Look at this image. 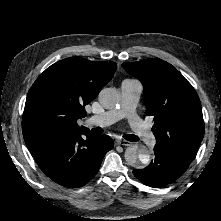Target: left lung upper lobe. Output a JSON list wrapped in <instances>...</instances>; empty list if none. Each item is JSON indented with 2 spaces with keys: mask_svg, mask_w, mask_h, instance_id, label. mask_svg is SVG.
Listing matches in <instances>:
<instances>
[{
  "mask_svg": "<svg viewBox=\"0 0 221 221\" xmlns=\"http://www.w3.org/2000/svg\"><path fill=\"white\" fill-rule=\"evenodd\" d=\"M122 66L144 86L146 115L155 121V147L190 164L204 136L201 103L192 85L158 58Z\"/></svg>",
  "mask_w": 221,
  "mask_h": 221,
  "instance_id": "obj_1",
  "label": "left lung upper lobe"
}]
</instances>
